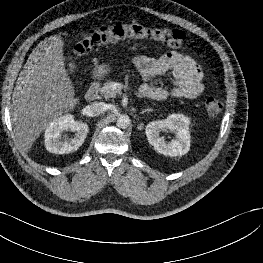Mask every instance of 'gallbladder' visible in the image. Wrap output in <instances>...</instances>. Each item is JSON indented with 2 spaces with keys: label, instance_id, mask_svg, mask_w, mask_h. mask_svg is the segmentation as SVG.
<instances>
[{
  "label": "gallbladder",
  "instance_id": "1",
  "mask_svg": "<svg viewBox=\"0 0 263 263\" xmlns=\"http://www.w3.org/2000/svg\"><path fill=\"white\" fill-rule=\"evenodd\" d=\"M68 70L70 73H73L76 70L75 63L71 59H69Z\"/></svg>",
  "mask_w": 263,
  "mask_h": 263
}]
</instances>
